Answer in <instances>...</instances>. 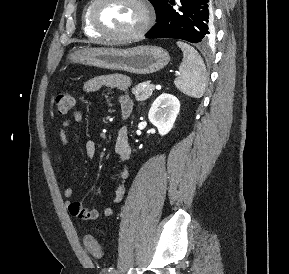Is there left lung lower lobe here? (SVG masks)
I'll return each mask as SVG.
<instances>
[{"label":"left lung lower lobe","mask_w":289,"mask_h":274,"mask_svg":"<svg viewBox=\"0 0 289 274\" xmlns=\"http://www.w3.org/2000/svg\"><path fill=\"white\" fill-rule=\"evenodd\" d=\"M176 11L168 0L156 18L147 38H177L205 44L214 37L213 13L210 0H180Z\"/></svg>","instance_id":"obj_1"}]
</instances>
